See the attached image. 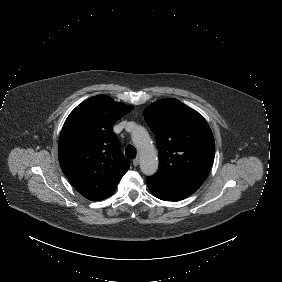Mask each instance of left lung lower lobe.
Instances as JSON below:
<instances>
[{"mask_svg":"<svg viewBox=\"0 0 282 282\" xmlns=\"http://www.w3.org/2000/svg\"><path fill=\"white\" fill-rule=\"evenodd\" d=\"M147 185L154 196L165 201H179L193 194L203 181L187 178H170L154 174L146 178Z\"/></svg>","mask_w":282,"mask_h":282,"instance_id":"1","label":"left lung lower lobe"}]
</instances>
